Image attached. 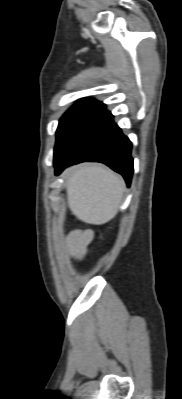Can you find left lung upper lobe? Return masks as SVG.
Here are the masks:
<instances>
[{"mask_svg":"<svg viewBox=\"0 0 182 399\" xmlns=\"http://www.w3.org/2000/svg\"><path fill=\"white\" fill-rule=\"evenodd\" d=\"M102 102L93 99H80L70 108L59 120L56 131V144L54 147V159L57 158L65 149L71 136L82 123V121L91 113L103 107Z\"/></svg>","mask_w":182,"mask_h":399,"instance_id":"5c2ea615","label":"left lung upper lobe"}]
</instances>
